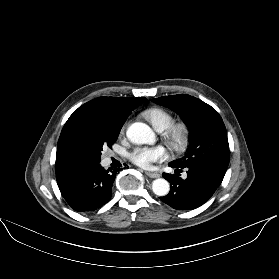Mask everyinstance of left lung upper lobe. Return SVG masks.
<instances>
[{
	"mask_svg": "<svg viewBox=\"0 0 279 279\" xmlns=\"http://www.w3.org/2000/svg\"><path fill=\"white\" fill-rule=\"evenodd\" d=\"M152 101L175 110L192 132L187 153L170 163L178 168L203 165L224 176L230 152L227 131L218 112L200 99L187 94L164 96Z\"/></svg>",
	"mask_w": 279,
	"mask_h": 279,
	"instance_id": "obj_1",
	"label": "left lung upper lobe"
}]
</instances>
